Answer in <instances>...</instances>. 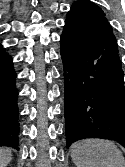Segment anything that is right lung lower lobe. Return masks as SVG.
Here are the masks:
<instances>
[{
	"instance_id": "1",
	"label": "right lung lower lobe",
	"mask_w": 125,
	"mask_h": 167,
	"mask_svg": "<svg viewBox=\"0 0 125 167\" xmlns=\"http://www.w3.org/2000/svg\"><path fill=\"white\" fill-rule=\"evenodd\" d=\"M12 58L0 44V146L19 150L18 92Z\"/></svg>"
}]
</instances>
